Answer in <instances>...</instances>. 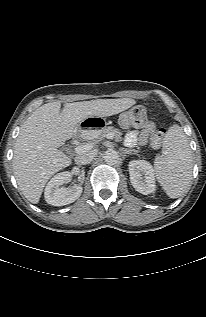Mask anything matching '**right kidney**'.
<instances>
[{"mask_svg":"<svg viewBox=\"0 0 206 317\" xmlns=\"http://www.w3.org/2000/svg\"><path fill=\"white\" fill-rule=\"evenodd\" d=\"M70 172L64 171L56 174L47 184L44 192L45 200L53 206H63L73 203L82 193L81 185H74L71 188L60 187L69 182Z\"/></svg>","mask_w":206,"mask_h":317,"instance_id":"1","label":"right kidney"}]
</instances>
